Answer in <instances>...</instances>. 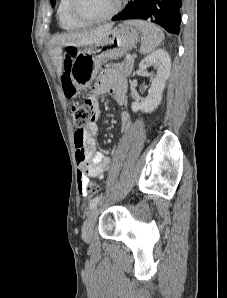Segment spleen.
<instances>
[{"mask_svg":"<svg viewBox=\"0 0 227 298\" xmlns=\"http://www.w3.org/2000/svg\"><path fill=\"white\" fill-rule=\"evenodd\" d=\"M126 23L135 26L140 32H142L143 42L140 47V52L142 54L154 51L164 39L163 31L153 23L142 20H130Z\"/></svg>","mask_w":227,"mask_h":298,"instance_id":"spleen-1","label":"spleen"}]
</instances>
